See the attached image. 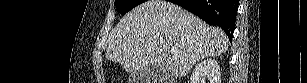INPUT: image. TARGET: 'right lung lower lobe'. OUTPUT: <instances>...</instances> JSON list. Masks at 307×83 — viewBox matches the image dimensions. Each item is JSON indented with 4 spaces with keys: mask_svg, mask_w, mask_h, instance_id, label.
Returning a JSON list of instances; mask_svg holds the SVG:
<instances>
[{
    "mask_svg": "<svg viewBox=\"0 0 307 83\" xmlns=\"http://www.w3.org/2000/svg\"><path fill=\"white\" fill-rule=\"evenodd\" d=\"M209 25H218L232 40L238 10V0H172Z\"/></svg>",
    "mask_w": 307,
    "mask_h": 83,
    "instance_id": "right-lung-lower-lobe-1",
    "label": "right lung lower lobe"
}]
</instances>
